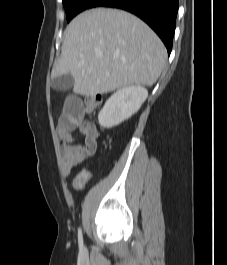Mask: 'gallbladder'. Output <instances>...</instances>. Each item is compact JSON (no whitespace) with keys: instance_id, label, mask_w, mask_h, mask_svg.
<instances>
[{"instance_id":"gallbladder-1","label":"gallbladder","mask_w":227,"mask_h":265,"mask_svg":"<svg viewBox=\"0 0 227 265\" xmlns=\"http://www.w3.org/2000/svg\"><path fill=\"white\" fill-rule=\"evenodd\" d=\"M74 79L70 73L57 76L52 80V87L56 90H66L72 87Z\"/></svg>"}]
</instances>
